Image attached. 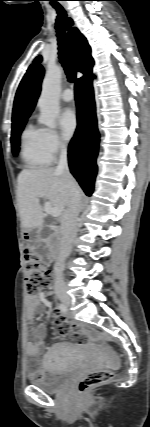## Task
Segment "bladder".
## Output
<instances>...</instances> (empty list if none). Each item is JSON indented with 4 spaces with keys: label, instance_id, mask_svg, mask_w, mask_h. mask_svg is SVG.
<instances>
[{
    "label": "bladder",
    "instance_id": "31cf9c89",
    "mask_svg": "<svg viewBox=\"0 0 150 427\" xmlns=\"http://www.w3.org/2000/svg\"><path fill=\"white\" fill-rule=\"evenodd\" d=\"M45 376L41 380H34L32 383L46 393H56L60 391L70 380L74 373L72 366H57L47 363Z\"/></svg>",
    "mask_w": 150,
    "mask_h": 427
}]
</instances>
